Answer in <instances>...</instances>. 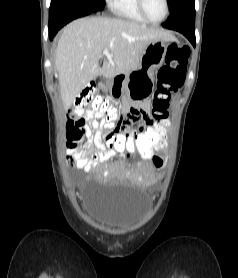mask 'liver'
<instances>
[{
  "label": "liver",
  "instance_id": "6515ba94",
  "mask_svg": "<svg viewBox=\"0 0 238 278\" xmlns=\"http://www.w3.org/2000/svg\"><path fill=\"white\" fill-rule=\"evenodd\" d=\"M160 39L174 38L162 29L118 18L88 17L69 23L58 40L55 54L64 109H69L97 76L112 79L135 70L149 43ZM105 48L109 49V56L100 67Z\"/></svg>",
  "mask_w": 238,
  "mask_h": 278
}]
</instances>
